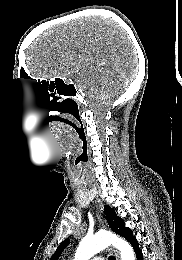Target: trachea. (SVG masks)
Returning a JSON list of instances; mask_svg holds the SVG:
<instances>
[{
	"label": "trachea",
	"mask_w": 182,
	"mask_h": 260,
	"mask_svg": "<svg viewBox=\"0 0 182 260\" xmlns=\"http://www.w3.org/2000/svg\"><path fill=\"white\" fill-rule=\"evenodd\" d=\"M109 260H116V258L113 256H109Z\"/></svg>",
	"instance_id": "obj_1"
}]
</instances>
